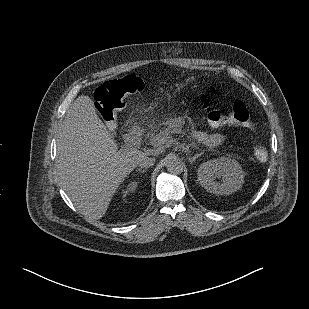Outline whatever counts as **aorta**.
<instances>
[{
	"label": "aorta",
	"instance_id": "1",
	"mask_svg": "<svg viewBox=\"0 0 309 309\" xmlns=\"http://www.w3.org/2000/svg\"><path fill=\"white\" fill-rule=\"evenodd\" d=\"M166 168L170 174L180 175L183 172L184 164L176 156H169L166 161Z\"/></svg>",
	"mask_w": 309,
	"mask_h": 309
}]
</instances>
